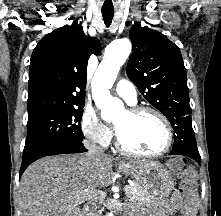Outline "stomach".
<instances>
[{"label":"stomach","instance_id":"0dacf381","mask_svg":"<svg viewBox=\"0 0 221 216\" xmlns=\"http://www.w3.org/2000/svg\"><path fill=\"white\" fill-rule=\"evenodd\" d=\"M121 169L131 175L152 200L165 199L174 189L171 174L160 163L123 164Z\"/></svg>","mask_w":221,"mask_h":216}]
</instances>
